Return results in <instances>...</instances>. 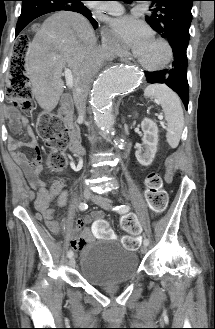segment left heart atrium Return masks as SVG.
I'll return each mask as SVG.
<instances>
[{"label":"left heart atrium","mask_w":215,"mask_h":329,"mask_svg":"<svg viewBox=\"0 0 215 329\" xmlns=\"http://www.w3.org/2000/svg\"><path fill=\"white\" fill-rule=\"evenodd\" d=\"M116 37L130 47L135 54L142 51L153 40L147 24L133 16H123L111 21Z\"/></svg>","instance_id":"39dd6f15"}]
</instances>
